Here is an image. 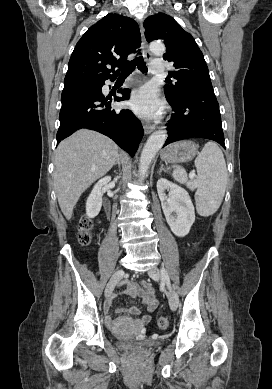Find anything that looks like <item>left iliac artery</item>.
<instances>
[{"label":"left iliac artery","instance_id":"44dca946","mask_svg":"<svg viewBox=\"0 0 272 389\" xmlns=\"http://www.w3.org/2000/svg\"><path fill=\"white\" fill-rule=\"evenodd\" d=\"M161 276H162V279L167 283V286L170 287L169 276L164 268L161 269Z\"/></svg>","mask_w":272,"mask_h":389}]
</instances>
